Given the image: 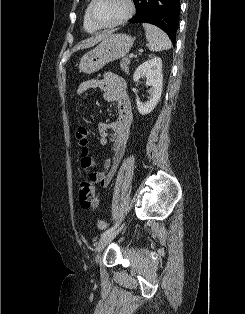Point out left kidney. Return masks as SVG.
Here are the masks:
<instances>
[{
	"label": "left kidney",
	"mask_w": 245,
	"mask_h": 314,
	"mask_svg": "<svg viewBox=\"0 0 245 314\" xmlns=\"http://www.w3.org/2000/svg\"><path fill=\"white\" fill-rule=\"evenodd\" d=\"M142 76L146 77V85L151 87L150 99L145 103L139 99L136 102L139 113L147 115L154 110L161 97L163 88L162 60L159 57H154L138 66L133 75L134 82H138Z\"/></svg>",
	"instance_id": "5707ae66"
}]
</instances>
